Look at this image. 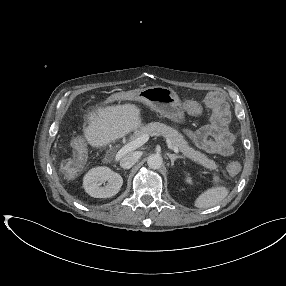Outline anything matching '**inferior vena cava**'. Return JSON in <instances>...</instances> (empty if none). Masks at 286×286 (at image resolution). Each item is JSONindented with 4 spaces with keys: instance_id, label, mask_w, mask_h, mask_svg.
<instances>
[{
    "instance_id": "inferior-vena-cava-1",
    "label": "inferior vena cava",
    "mask_w": 286,
    "mask_h": 286,
    "mask_svg": "<svg viewBox=\"0 0 286 286\" xmlns=\"http://www.w3.org/2000/svg\"><path fill=\"white\" fill-rule=\"evenodd\" d=\"M139 158L140 155L137 152L128 153L120 160V166L123 169H130L138 161Z\"/></svg>"
}]
</instances>
